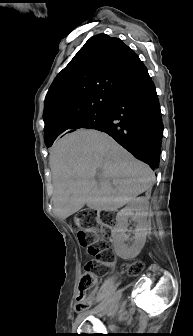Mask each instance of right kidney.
Wrapping results in <instances>:
<instances>
[{
  "mask_svg": "<svg viewBox=\"0 0 193 336\" xmlns=\"http://www.w3.org/2000/svg\"><path fill=\"white\" fill-rule=\"evenodd\" d=\"M148 210V199L145 197H138L131 200L125 208L118 212L114 233L116 249L120 256L124 258L136 257L144 247L148 228ZM130 216H133L137 225L133 231L134 237L132 244L128 245L125 242L129 240L126 231L128 227V218Z\"/></svg>",
  "mask_w": 193,
  "mask_h": 336,
  "instance_id": "right-kidney-1",
  "label": "right kidney"
}]
</instances>
